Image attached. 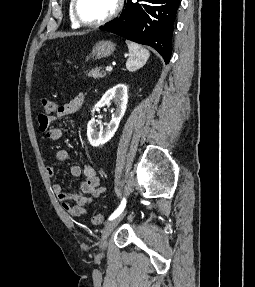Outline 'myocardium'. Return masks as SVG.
<instances>
[{
    "label": "myocardium",
    "instance_id": "f54148a6",
    "mask_svg": "<svg viewBox=\"0 0 255 287\" xmlns=\"http://www.w3.org/2000/svg\"><path fill=\"white\" fill-rule=\"evenodd\" d=\"M92 33H115V32H92ZM94 39H115V38H94ZM110 48H118V47H110Z\"/></svg>",
    "mask_w": 255,
    "mask_h": 287
}]
</instances>
